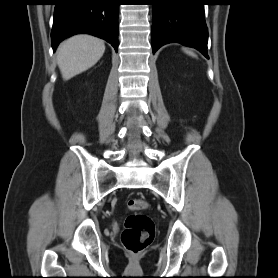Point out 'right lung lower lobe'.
<instances>
[{
	"instance_id": "right-lung-lower-lobe-1",
	"label": "right lung lower lobe",
	"mask_w": 278,
	"mask_h": 278,
	"mask_svg": "<svg viewBox=\"0 0 278 278\" xmlns=\"http://www.w3.org/2000/svg\"><path fill=\"white\" fill-rule=\"evenodd\" d=\"M119 0H56L52 48L65 38L88 33L108 41L118 49Z\"/></svg>"
}]
</instances>
